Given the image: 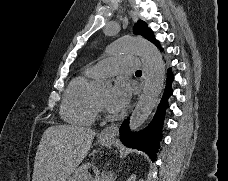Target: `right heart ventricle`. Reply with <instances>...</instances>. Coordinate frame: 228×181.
I'll return each instance as SVG.
<instances>
[{
  "label": "right heart ventricle",
  "mask_w": 228,
  "mask_h": 181,
  "mask_svg": "<svg viewBox=\"0 0 228 181\" xmlns=\"http://www.w3.org/2000/svg\"><path fill=\"white\" fill-rule=\"evenodd\" d=\"M97 75L91 70L76 75L66 90L62 116L76 124H89L97 116L98 105L96 92L93 89Z\"/></svg>",
  "instance_id": "right-heart-ventricle-1"
}]
</instances>
